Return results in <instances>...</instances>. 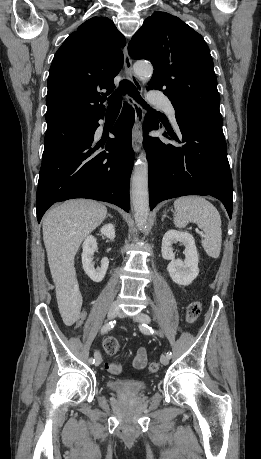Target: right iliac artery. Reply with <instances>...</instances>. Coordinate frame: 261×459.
<instances>
[{"mask_svg":"<svg viewBox=\"0 0 261 459\" xmlns=\"http://www.w3.org/2000/svg\"><path fill=\"white\" fill-rule=\"evenodd\" d=\"M115 323H116V321H110V322L106 323V324L101 328V333H103V334H104V333H107L109 330H111V329L114 327ZM97 353H98V352H95L94 357H96ZM89 363H92V364L95 363V359L90 358V359H89Z\"/></svg>","mask_w":261,"mask_h":459,"instance_id":"82829eb1","label":"right iliac artery"}]
</instances>
